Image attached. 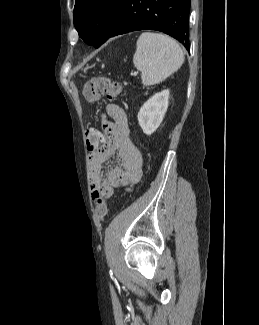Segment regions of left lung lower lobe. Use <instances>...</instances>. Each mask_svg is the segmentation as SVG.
<instances>
[{
    "label": "left lung lower lobe",
    "mask_w": 259,
    "mask_h": 325,
    "mask_svg": "<svg viewBox=\"0 0 259 325\" xmlns=\"http://www.w3.org/2000/svg\"><path fill=\"white\" fill-rule=\"evenodd\" d=\"M190 0H123L105 39L153 29L164 32L189 50Z\"/></svg>",
    "instance_id": "1"
}]
</instances>
